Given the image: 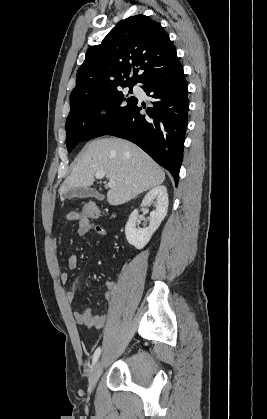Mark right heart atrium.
I'll list each match as a JSON object with an SVG mask.
<instances>
[{"mask_svg": "<svg viewBox=\"0 0 267 419\" xmlns=\"http://www.w3.org/2000/svg\"><path fill=\"white\" fill-rule=\"evenodd\" d=\"M97 116L99 119H105L108 116V110L105 107H100L97 110Z\"/></svg>", "mask_w": 267, "mask_h": 419, "instance_id": "obj_1", "label": "right heart atrium"}]
</instances>
